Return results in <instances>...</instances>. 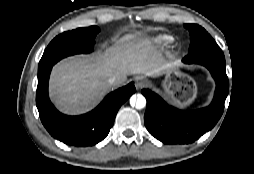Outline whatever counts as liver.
<instances>
[{
  "instance_id": "1",
  "label": "liver",
  "mask_w": 254,
  "mask_h": 174,
  "mask_svg": "<svg viewBox=\"0 0 254 174\" xmlns=\"http://www.w3.org/2000/svg\"><path fill=\"white\" fill-rule=\"evenodd\" d=\"M159 59L160 52L151 39L128 34L103 54L73 56L56 64L50 97L66 114L84 113L109 91L111 76H118V85L124 84L128 75L152 76Z\"/></svg>"
}]
</instances>
